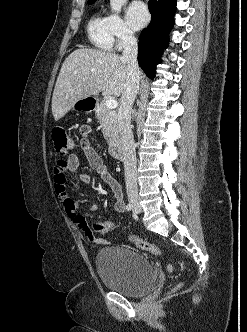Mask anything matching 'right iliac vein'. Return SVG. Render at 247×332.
Here are the masks:
<instances>
[{
  "mask_svg": "<svg viewBox=\"0 0 247 332\" xmlns=\"http://www.w3.org/2000/svg\"><path fill=\"white\" fill-rule=\"evenodd\" d=\"M131 205H132L133 209L135 210V212L140 213L142 211L139 203L136 200H132Z\"/></svg>",
  "mask_w": 247,
  "mask_h": 332,
  "instance_id": "1",
  "label": "right iliac vein"
}]
</instances>
